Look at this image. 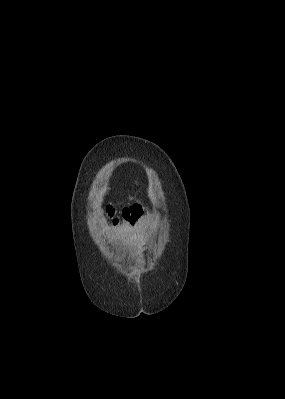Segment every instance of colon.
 Here are the masks:
<instances>
[{
  "instance_id": "obj_1",
  "label": "colon",
  "mask_w": 285,
  "mask_h": 399,
  "mask_svg": "<svg viewBox=\"0 0 285 399\" xmlns=\"http://www.w3.org/2000/svg\"><path fill=\"white\" fill-rule=\"evenodd\" d=\"M111 218H112V217H111ZM111 222H112V224H117V223H118V220L115 219V218H112Z\"/></svg>"
}]
</instances>
